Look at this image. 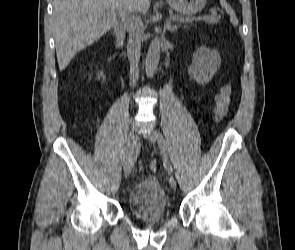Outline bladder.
Here are the masks:
<instances>
[{
  "label": "bladder",
  "instance_id": "obj_1",
  "mask_svg": "<svg viewBox=\"0 0 295 250\" xmlns=\"http://www.w3.org/2000/svg\"><path fill=\"white\" fill-rule=\"evenodd\" d=\"M128 209L140 220H158L165 216L166 193L155 176L146 177L133 187L128 197Z\"/></svg>",
  "mask_w": 295,
  "mask_h": 250
}]
</instances>
